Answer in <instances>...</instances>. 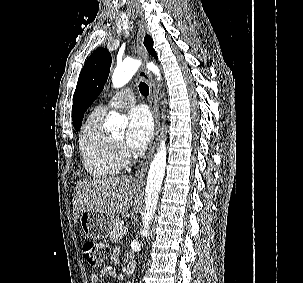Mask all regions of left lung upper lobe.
<instances>
[{"label":"left lung upper lobe","mask_w":303,"mask_h":283,"mask_svg":"<svg viewBox=\"0 0 303 283\" xmlns=\"http://www.w3.org/2000/svg\"><path fill=\"white\" fill-rule=\"evenodd\" d=\"M144 44L148 52L157 58L150 36H145ZM110 66L111 55L104 48L95 50L85 62L73 96L72 117L76 130L80 129L84 113L88 107L103 90L109 75Z\"/></svg>","instance_id":"obj_1"}]
</instances>
